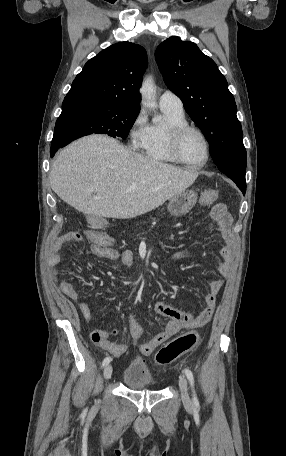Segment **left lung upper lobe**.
Masks as SVG:
<instances>
[{"label": "left lung upper lobe", "mask_w": 286, "mask_h": 456, "mask_svg": "<svg viewBox=\"0 0 286 456\" xmlns=\"http://www.w3.org/2000/svg\"><path fill=\"white\" fill-rule=\"evenodd\" d=\"M155 58L165 84L182 100L186 112L207 138L214 163L246 165L235 99L215 62L196 44L177 36L162 42Z\"/></svg>", "instance_id": "obj_1"}]
</instances>
